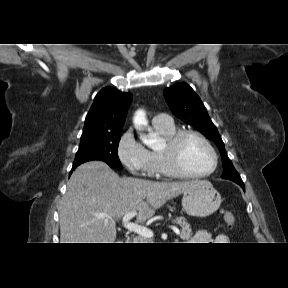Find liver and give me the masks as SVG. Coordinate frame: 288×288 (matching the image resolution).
<instances>
[{"mask_svg": "<svg viewBox=\"0 0 288 288\" xmlns=\"http://www.w3.org/2000/svg\"><path fill=\"white\" fill-rule=\"evenodd\" d=\"M200 181L156 182L120 178L106 163L78 166L67 182L59 208L61 243H114L116 219L138 211L143 223L166 201L192 189Z\"/></svg>", "mask_w": 288, "mask_h": 288, "instance_id": "1", "label": "liver"}]
</instances>
